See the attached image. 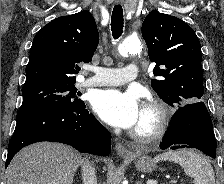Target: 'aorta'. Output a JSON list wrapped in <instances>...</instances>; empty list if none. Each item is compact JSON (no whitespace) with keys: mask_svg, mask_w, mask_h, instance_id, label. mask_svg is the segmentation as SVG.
Wrapping results in <instances>:
<instances>
[{"mask_svg":"<svg viewBox=\"0 0 224 184\" xmlns=\"http://www.w3.org/2000/svg\"><path fill=\"white\" fill-rule=\"evenodd\" d=\"M142 44L138 38H126L118 46V52L123 57H128L129 54H135L140 52Z\"/></svg>","mask_w":224,"mask_h":184,"instance_id":"1","label":"aorta"}]
</instances>
